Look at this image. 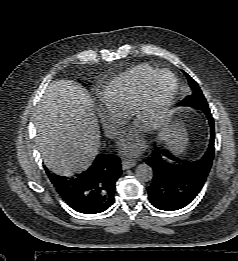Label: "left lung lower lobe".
I'll use <instances>...</instances> for the list:
<instances>
[{"instance_id":"obj_1","label":"left lung lower lobe","mask_w":238,"mask_h":261,"mask_svg":"<svg viewBox=\"0 0 238 261\" xmlns=\"http://www.w3.org/2000/svg\"><path fill=\"white\" fill-rule=\"evenodd\" d=\"M210 124V143L205 154L194 161L167 155L155 148L147 164L153 170L148 199L156 208L165 211L187 206L202 189L214 158V121L207 106L199 107Z\"/></svg>"}]
</instances>
